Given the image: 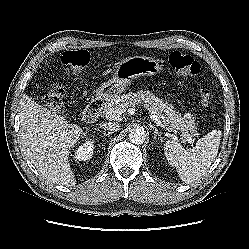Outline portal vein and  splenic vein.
Listing matches in <instances>:
<instances>
[{
	"instance_id": "1",
	"label": "portal vein and splenic vein",
	"mask_w": 249,
	"mask_h": 249,
	"mask_svg": "<svg viewBox=\"0 0 249 249\" xmlns=\"http://www.w3.org/2000/svg\"><path fill=\"white\" fill-rule=\"evenodd\" d=\"M122 111L121 109L115 107V108H111L109 109L106 113H105V116L106 118H109V119H118L121 115H122ZM150 118L157 124V126L163 128V129H166L168 132H175L172 128H169V127H166V125H164L161 120L159 119V117L154 114L153 112H150Z\"/></svg>"
}]
</instances>
